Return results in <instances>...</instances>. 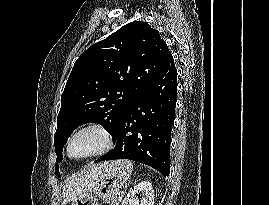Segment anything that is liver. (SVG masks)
Instances as JSON below:
<instances>
[{
    "mask_svg": "<svg viewBox=\"0 0 269 205\" xmlns=\"http://www.w3.org/2000/svg\"><path fill=\"white\" fill-rule=\"evenodd\" d=\"M108 164L109 162L92 164L78 177L68 181L63 187V203L71 202L90 192L95 187L99 176Z\"/></svg>",
    "mask_w": 269,
    "mask_h": 205,
    "instance_id": "liver-1",
    "label": "liver"
}]
</instances>
